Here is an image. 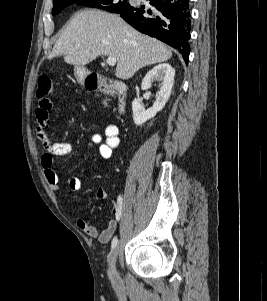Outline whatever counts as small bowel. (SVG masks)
<instances>
[{
	"label": "small bowel",
	"mask_w": 267,
	"mask_h": 301,
	"mask_svg": "<svg viewBox=\"0 0 267 301\" xmlns=\"http://www.w3.org/2000/svg\"><path fill=\"white\" fill-rule=\"evenodd\" d=\"M52 108V102L48 98H40L38 108L36 110V134L38 139L42 142L44 153L41 156V166L45 178L50 188L57 192L61 186V179L53 168L54 159L70 154L72 146L67 142H51L47 135V127L49 122V113ZM119 129L115 124L106 125L103 134L94 133L88 142L90 147L98 146V154L94 159L97 162L99 159H107L111 157L113 150L119 145ZM86 171L81 168L77 173L70 175L66 179L68 188L72 192H77L82 186V177ZM96 197L99 200L108 198V192L104 188H99L96 192ZM118 205V204H117ZM118 206L114 205L112 209V217L108 221L107 226L99 230L97 227L89 224L86 220L79 218L77 220V227L88 237L96 238L101 243H108L117 229L118 220Z\"/></svg>",
	"instance_id": "c3829d8e"
}]
</instances>
